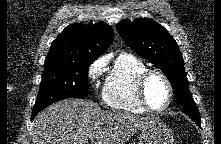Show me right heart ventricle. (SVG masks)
Segmentation results:
<instances>
[{
	"label": "right heart ventricle",
	"mask_w": 221,
	"mask_h": 144,
	"mask_svg": "<svg viewBox=\"0 0 221 144\" xmlns=\"http://www.w3.org/2000/svg\"><path fill=\"white\" fill-rule=\"evenodd\" d=\"M147 69L145 63L131 54H120L115 58L107 76L103 100L105 104L118 111L145 113L136 96V79Z\"/></svg>",
	"instance_id": "obj_1"
}]
</instances>
